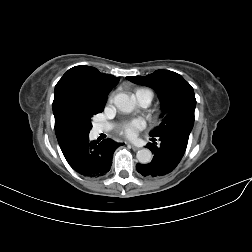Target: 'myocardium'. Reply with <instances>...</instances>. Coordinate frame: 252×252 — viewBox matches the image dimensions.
I'll use <instances>...</instances> for the list:
<instances>
[{
	"mask_svg": "<svg viewBox=\"0 0 252 252\" xmlns=\"http://www.w3.org/2000/svg\"><path fill=\"white\" fill-rule=\"evenodd\" d=\"M160 114H161V112L157 111V113H156V119H158L160 117Z\"/></svg>",
	"mask_w": 252,
	"mask_h": 252,
	"instance_id": "1",
	"label": "myocardium"
}]
</instances>
